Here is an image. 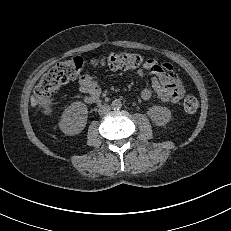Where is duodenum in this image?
Returning <instances> with one entry per match:
<instances>
[{
    "mask_svg": "<svg viewBox=\"0 0 231 231\" xmlns=\"http://www.w3.org/2000/svg\"><path fill=\"white\" fill-rule=\"evenodd\" d=\"M85 101L89 104H92V103H101V101L99 100L98 97H93V96H87Z\"/></svg>",
    "mask_w": 231,
    "mask_h": 231,
    "instance_id": "410a0bca",
    "label": "duodenum"
}]
</instances>
